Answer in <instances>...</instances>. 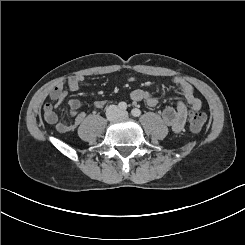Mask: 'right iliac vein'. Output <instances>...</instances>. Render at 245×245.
<instances>
[{"instance_id": "63e3f726", "label": "right iliac vein", "mask_w": 245, "mask_h": 245, "mask_svg": "<svg viewBox=\"0 0 245 245\" xmlns=\"http://www.w3.org/2000/svg\"><path fill=\"white\" fill-rule=\"evenodd\" d=\"M118 117H119V112L117 110V107L116 106H112L111 109H110L109 118L111 120H115Z\"/></svg>"}]
</instances>
